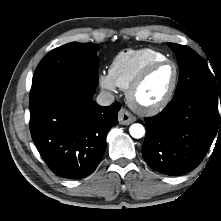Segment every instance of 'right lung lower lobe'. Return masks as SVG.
<instances>
[{
  "label": "right lung lower lobe",
  "instance_id": "right-lung-lower-lobe-1",
  "mask_svg": "<svg viewBox=\"0 0 221 221\" xmlns=\"http://www.w3.org/2000/svg\"><path fill=\"white\" fill-rule=\"evenodd\" d=\"M96 85L66 78L48 86L30 102V131L45 163L58 176L90 175L106 149V135L118 124L119 103L99 106L91 98Z\"/></svg>",
  "mask_w": 221,
  "mask_h": 221
}]
</instances>
